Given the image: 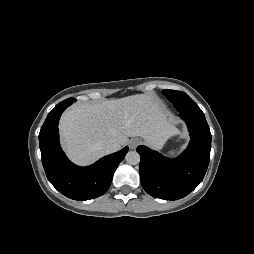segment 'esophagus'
Listing matches in <instances>:
<instances>
[{"instance_id": "1", "label": "esophagus", "mask_w": 254, "mask_h": 254, "mask_svg": "<svg viewBox=\"0 0 254 254\" xmlns=\"http://www.w3.org/2000/svg\"><path fill=\"white\" fill-rule=\"evenodd\" d=\"M139 144H140V140L139 139H131L129 141V147L131 149H135Z\"/></svg>"}]
</instances>
